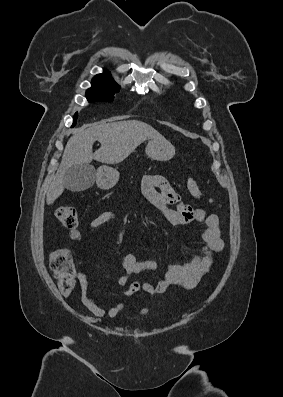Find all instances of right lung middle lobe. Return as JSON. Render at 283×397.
Masks as SVG:
<instances>
[{"mask_svg": "<svg viewBox=\"0 0 283 397\" xmlns=\"http://www.w3.org/2000/svg\"><path fill=\"white\" fill-rule=\"evenodd\" d=\"M92 87L86 91V98L88 102L104 101L111 102L114 99V94L120 89V86L115 82H91ZM78 113L74 115V122L72 127L76 124Z\"/></svg>", "mask_w": 283, "mask_h": 397, "instance_id": "obj_1", "label": "right lung middle lobe"}]
</instances>
